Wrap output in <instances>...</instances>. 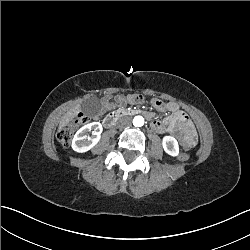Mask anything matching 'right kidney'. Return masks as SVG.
<instances>
[{"mask_svg":"<svg viewBox=\"0 0 250 250\" xmlns=\"http://www.w3.org/2000/svg\"><path fill=\"white\" fill-rule=\"evenodd\" d=\"M92 131V136H87L86 133ZM102 125L99 122H92L81 127L72 140V148L74 151L83 153L94 147L101 138Z\"/></svg>","mask_w":250,"mask_h":250,"instance_id":"right-kidney-1","label":"right kidney"}]
</instances>
